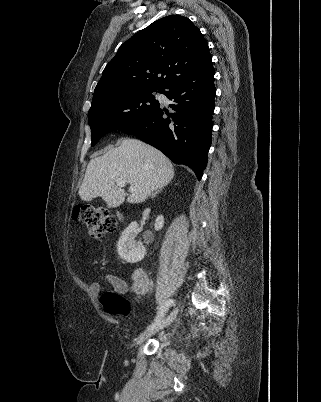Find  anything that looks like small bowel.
Returning <instances> with one entry per match:
<instances>
[{"instance_id":"small-bowel-1","label":"small bowel","mask_w":321,"mask_h":402,"mask_svg":"<svg viewBox=\"0 0 321 402\" xmlns=\"http://www.w3.org/2000/svg\"><path fill=\"white\" fill-rule=\"evenodd\" d=\"M105 279L112 285L113 289L120 294H125L128 291L127 282L114 275H106ZM132 290L137 294H147L150 291V280L147 273L143 269H136L131 276ZM101 285L98 283H93L91 285V290L94 293H99L101 291Z\"/></svg>"}]
</instances>
